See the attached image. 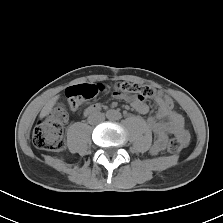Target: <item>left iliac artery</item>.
<instances>
[{"label": "left iliac artery", "mask_w": 223, "mask_h": 223, "mask_svg": "<svg viewBox=\"0 0 223 223\" xmlns=\"http://www.w3.org/2000/svg\"><path fill=\"white\" fill-rule=\"evenodd\" d=\"M120 118H121L120 113L116 114L115 119H120Z\"/></svg>", "instance_id": "1"}]
</instances>
